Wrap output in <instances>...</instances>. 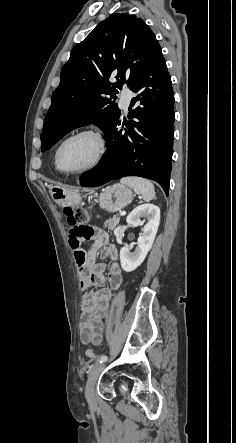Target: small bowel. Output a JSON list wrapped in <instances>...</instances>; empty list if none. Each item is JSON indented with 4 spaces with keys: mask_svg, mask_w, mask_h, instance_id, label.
<instances>
[{
    "mask_svg": "<svg viewBox=\"0 0 236 443\" xmlns=\"http://www.w3.org/2000/svg\"><path fill=\"white\" fill-rule=\"evenodd\" d=\"M92 231L91 239L93 243L87 251L81 246L85 240L72 233L69 236V244L74 251L75 263L78 269L80 287L87 289L91 284L100 287L95 292L85 293L82 299L80 338L84 344L100 341L103 319L109 308L112 292L119 289L123 281L122 269L117 262V248L109 244V238L105 231L96 227L92 228ZM98 250H101V258H109L111 260L106 277L109 287H104V264L96 263Z\"/></svg>",
    "mask_w": 236,
    "mask_h": 443,
    "instance_id": "c3829d8e",
    "label": "small bowel"
}]
</instances>
